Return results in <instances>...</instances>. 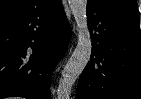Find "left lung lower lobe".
Wrapping results in <instances>:
<instances>
[{"label":"left lung lower lobe","instance_id":"obj_1","mask_svg":"<svg viewBox=\"0 0 141 99\" xmlns=\"http://www.w3.org/2000/svg\"><path fill=\"white\" fill-rule=\"evenodd\" d=\"M91 60L76 99H141V32L137 13L112 12L87 3Z\"/></svg>","mask_w":141,"mask_h":99}]
</instances>
